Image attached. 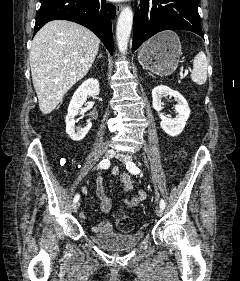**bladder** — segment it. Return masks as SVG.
<instances>
[{"instance_id": "31cf9c89", "label": "bladder", "mask_w": 240, "mask_h": 281, "mask_svg": "<svg viewBox=\"0 0 240 281\" xmlns=\"http://www.w3.org/2000/svg\"><path fill=\"white\" fill-rule=\"evenodd\" d=\"M144 238L142 231L129 233H98L91 236L92 242L98 247L111 251L121 252L135 248Z\"/></svg>"}]
</instances>
